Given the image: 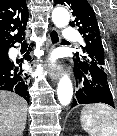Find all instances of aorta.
Returning a JSON list of instances; mask_svg holds the SVG:
<instances>
[{
	"mask_svg": "<svg viewBox=\"0 0 117 136\" xmlns=\"http://www.w3.org/2000/svg\"><path fill=\"white\" fill-rule=\"evenodd\" d=\"M52 21L58 28H63L68 25L70 21V14L65 8L57 7L52 12ZM57 95L61 105L67 106L71 102L73 96V86L67 75H64L59 80Z\"/></svg>",
	"mask_w": 117,
	"mask_h": 136,
	"instance_id": "762f6f07",
	"label": "aorta"
}]
</instances>
